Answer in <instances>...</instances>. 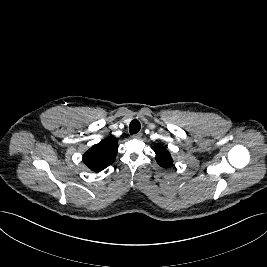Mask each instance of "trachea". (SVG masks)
Instances as JSON below:
<instances>
[{
    "label": "trachea",
    "mask_w": 267,
    "mask_h": 267,
    "mask_svg": "<svg viewBox=\"0 0 267 267\" xmlns=\"http://www.w3.org/2000/svg\"><path fill=\"white\" fill-rule=\"evenodd\" d=\"M141 125L138 120H132L129 126V132L131 135L136 134L140 131Z\"/></svg>",
    "instance_id": "obj_1"
}]
</instances>
